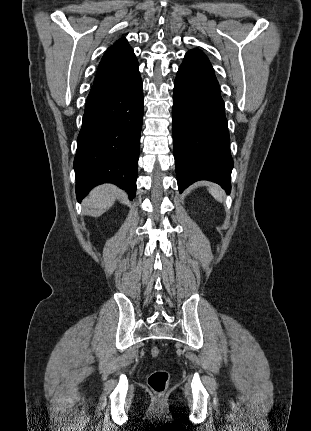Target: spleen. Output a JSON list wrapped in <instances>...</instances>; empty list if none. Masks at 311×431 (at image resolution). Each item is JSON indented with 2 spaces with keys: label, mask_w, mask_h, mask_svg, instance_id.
<instances>
[{
  "label": "spleen",
  "mask_w": 311,
  "mask_h": 431,
  "mask_svg": "<svg viewBox=\"0 0 311 431\" xmlns=\"http://www.w3.org/2000/svg\"><path fill=\"white\" fill-rule=\"evenodd\" d=\"M209 192L214 196L215 200L222 202L223 194L221 190H219L218 186H209Z\"/></svg>",
  "instance_id": "3e777b00"
}]
</instances>
